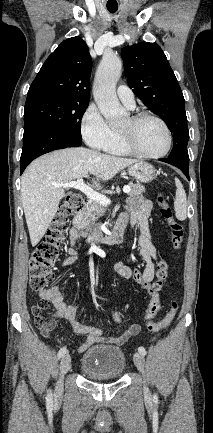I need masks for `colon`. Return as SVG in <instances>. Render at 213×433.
<instances>
[{
	"label": "colon",
	"instance_id": "5ec220e1",
	"mask_svg": "<svg viewBox=\"0 0 213 433\" xmlns=\"http://www.w3.org/2000/svg\"><path fill=\"white\" fill-rule=\"evenodd\" d=\"M85 198L76 192L70 193L60 204L54 220L48 228L42 240L34 247L30 259V286L37 291L46 290L49 282L53 279V266L59 256L60 248L65 240L70 220L81 210ZM157 205L161 217L166 221L169 228L170 241L175 249H179L183 242V228L173 217V211L163 195H158ZM168 277L167 264L161 261L157 266L156 288L160 290ZM49 307V302L42 299L32 307V313L36 324L44 327L47 324L44 313ZM178 310L177 302H172L170 309L160 321L148 322L150 331H159L166 328L174 319ZM121 313H114L113 321H121ZM125 338L132 336V332L126 331Z\"/></svg>",
	"mask_w": 213,
	"mask_h": 433
}]
</instances>
